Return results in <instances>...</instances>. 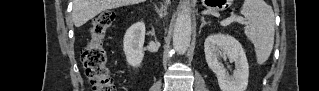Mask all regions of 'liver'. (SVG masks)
<instances>
[{
    "label": "liver",
    "instance_id": "obj_1",
    "mask_svg": "<svg viewBox=\"0 0 319 91\" xmlns=\"http://www.w3.org/2000/svg\"><path fill=\"white\" fill-rule=\"evenodd\" d=\"M145 0H73V21L80 27L101 12L122 6L138 4Z\"/></svg>",
    "mask_w": 319,
    "mask_h": 91
}]
</instances>
